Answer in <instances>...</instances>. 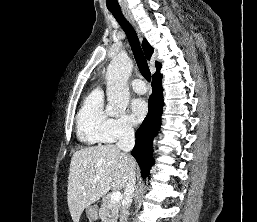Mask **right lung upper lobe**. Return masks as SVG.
<instances>
[{
  "mask_svg": "<svg viewBox=\"0 0 257 222\" xmlns=\"http://www.w3.org/2000/svg\"><path fill=\"white\" fill-rule=\"evenodd\" d=\"M143 50H144V53H145V56L147 57V59L149 60L153 54V48L151 47V45L147 42L146 39L143 40ZM156 65V68H157V71L154 73V74H157L159 73V70L161 68V65L160 63L156 62L155 63Z\"/></svg>",
  "mask_w": 257,
  "mask_h": 222,
  "instance_id": "1",
  "label": "right lung upper lobe"
}]
</instances>
